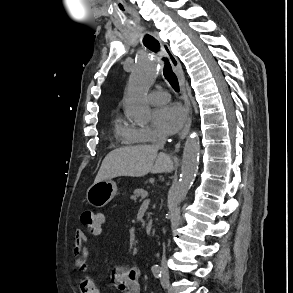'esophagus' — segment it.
<instances>
[{
    "mask_svg": "<svg viewBox=\"0 0 293 293\" xmlns=\"http://www.w3.org/2000/svg\"><path fill=\"white\" fill-rule=\"evenodd\" d=\"M152 35L160 42L163 51L167 55L171 65L173 67V70L177 74V77H178L180 91L183 95L184 103H185V107H186V111H187V121H186V124H185L182 132L180 133V139H184L190 130V126H191V122H192V110H191V104H190L189 98L186 93L185 78H184L183 70H182V67H181V64H180L178 58L172 53L169 45L167 43H164L160 39L158 32L154 31V32H152Z\"/></svg>",
    "mask_w": 293,
    "mask_h": 293,
    "instance_id": "34e87169",
    "label": "esophagus"
}]
</instances>
